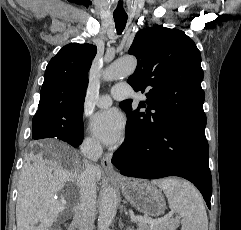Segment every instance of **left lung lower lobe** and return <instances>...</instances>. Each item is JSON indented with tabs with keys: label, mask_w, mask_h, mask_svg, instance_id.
I'll return each mask as SVG.
<instances>
[{
	"label": "left lung lower lobe",
	"mask_w": 241,
	"mask_h": 230,
	"mask_svg": "<svg viewBox=\"0 0 241 230\" xmlns=\"http://www.w3.org/2000/svg\"><path fill=\"white\" fill-rule=\"evenodd\" d=\"M208 151L205 128L169 124L156 134H148L137 120L130 119L125 141L113 154L112 164L129 177H183L200 190L210 209L212 178Z\"/></svg>",
	"instance_id": "obj_1"
}]
</instances>
